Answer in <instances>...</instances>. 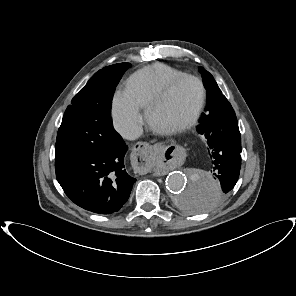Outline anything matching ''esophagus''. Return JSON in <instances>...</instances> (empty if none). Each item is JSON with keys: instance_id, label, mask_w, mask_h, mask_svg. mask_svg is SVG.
<instances>
[{"instance_id": "34e87169", "label": "esophagus", "mask_w": 296, "mask_h": 296, "mask_svg": "<svg viewBox=\"0 0 296 296\" xmlns=\"http://www.w3.org/2000/svg\"><path fill=\"white\" fill-rule=\"evenodd\" d=\"M157 150L144 141L136 142L131 149V164L134 172L139 176H146L157 161Z\"/></svg>"}]
</instances>
